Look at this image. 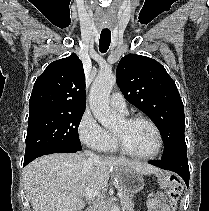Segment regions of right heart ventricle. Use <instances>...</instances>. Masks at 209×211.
Here are the masks:
<instances>
[{
  "instance_id": "1",
  "label": "right heart ventricle",
  "mask_w": 209,
  "mask_h": 211,
  "mask_svg": "<svg viewBox=\"0 0 209 211\" xmlns=\"http://www.w3.org/2000/svg\"><path fill=\"white\" fill-rule=\"evenodd\" d=\"M102 150L105 152H108V153L117 152L118 149H117V146L115 143L114 135L112 133H110V139H109L108 143L106 144V146Z\"/></svg>"
}]
</instances>
